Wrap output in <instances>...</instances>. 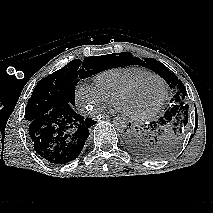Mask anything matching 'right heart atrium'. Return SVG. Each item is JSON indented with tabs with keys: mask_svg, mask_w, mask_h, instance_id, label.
Segmentation results:
<instances>
[{
	"mask_svg": "<svg viewBox=\"0 0 213 213\" xmlns=\"http://www.w3.org/2000/svg\"><path fill=\"white\" fill-rule=\"evenodd\" d=\"M75 100L81 111L91 112L107 105L111 97L105 94L96 83L83 81L75 89Z\"/></svg>",
	"mask_w": 213,
	"mask_h": 213,
	"instance_id": "obj_1",
	"label": "right heart atrium"
}]
</instances>
